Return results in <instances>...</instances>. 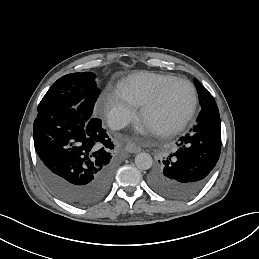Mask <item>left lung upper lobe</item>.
<instances>
[{
  "mask_svg": "<svg viewBox=\"0 0 259 259\" xmlns=\"http://www.w3.org/2000/svg\"><path fill=\"white\" fill-rule=\"evenodd\" d=\"M194 84L199 94L201 109L216 105L213 96L198 80L194 79Z\"/></svg>",
  "mask_w": 259,
  "mask_h": 259,
  "instance_id": "5c2ea615",
  "label": "left lung upper lobe"
}]
</instances>
